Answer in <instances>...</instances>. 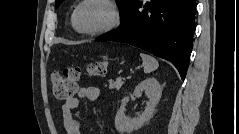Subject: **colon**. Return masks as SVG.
I'll use <instances>...</instances> for the list:
<instances>
[{
	"label": "colon",
	"instance_id": "5ec220e1",
	"mask_svg": "<svg viewBox=\"0 0 239 134\" xmlns=\"http://www.w3.org/2000/svg\"><path fill=\"white\" fill-rule=\"evenodd\" d=\"M107 63L104 61L94 63L88 67L90 76L97 77L106 73ZM80 69L68 67L62 72H54L51 76L52 90L58 99H70L74 96L78 86Z\"/></svg>",
	"mask_w": 239,
	"mask_h": 134
}]
</instances>
